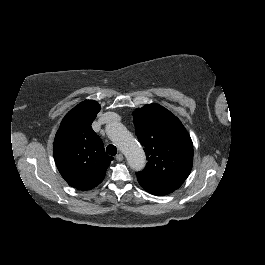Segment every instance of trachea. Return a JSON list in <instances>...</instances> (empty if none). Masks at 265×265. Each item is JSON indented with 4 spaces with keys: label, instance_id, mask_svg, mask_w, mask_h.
<instances>
[{
    "label": "trachea",
    "instance_id": "obj_1",
    "mask_svg": "<svg viewBox=\"0 0 265 265\" xmlns=\"http://www.w3.org/2000/svg\"><path fill=\"white\" fill-rule=\"evenodd\" d=\"M106 152L111 156H115L117 154V148L116 146L110 144L107 146Z\"/></svg>",
    "mask_w": 265,
    "mask_h": 265
}]
</instances>
